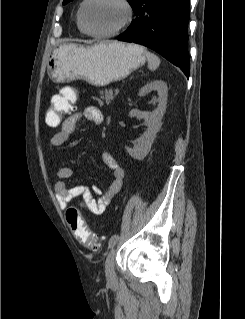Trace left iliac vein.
Listing matches in <instances>:
<instances>
[{
	"mask_svg": "<svg viewBox=\"0 0 245 319\" xmlns=\"http://www.w3.org/2000/svg\"><path fill=\"white\" fill-rule=\"evenodd\" d=\"M115 256H116V249L112 248L105 261V274H106V279L108 282L115 281V271H114Z\"/></svg>",
	"mask_w": 245,
	"mask_h": 319,
	"instance_id": "left-iliac-vein-1",
	"label": "left iliac vein"
}]
</instances>
